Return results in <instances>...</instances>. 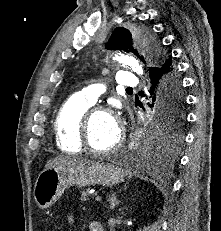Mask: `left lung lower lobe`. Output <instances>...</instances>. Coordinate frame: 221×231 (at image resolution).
<instances>
[{
  "label": "left lung lower lobe",
  "instance_id": "left-lung-lower-lobe-1",
  "mask_svg": "<svg viewBox=\"0 0 221 231\" xmlns=\"http://www.w3.org/2000/svg\"><path fill=\"white\" fill-rule=\"evenodd\" d=\"M149 75L152 84L150 93L154 95L150 106L154 107V113L162 117L172 110L173 104L182 94L181 81L172 57L166 58L162 64L151 66ZM178 141H169L163 138L162 134L151 132L144 146L136 151V156L152 157L162 146L168 143L176 144Z\"/></svg>",
  "mask_w": 221,
  "mask_h": 231
}]
</instances>
